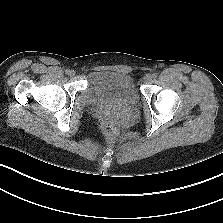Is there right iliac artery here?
I'll use <instances>...</instances> for the list:
<instances>
[{
    "label": "right iliac artery",
    "instance_id": "82829eb1",
    "mask_svg": "<svg viewBox=\"0 0 223 223\" xmlns=\"http://www.w3.org/2000/svg\"><path fill=\"white\" fill-rule=\"evenodd\" d=\"M65 72H66V74H68V75H69L70 70H69V69H66V70H65Z\"/></svg>",
    "mask_w": 223,
    "mask_h": 223
}]
</instances>
